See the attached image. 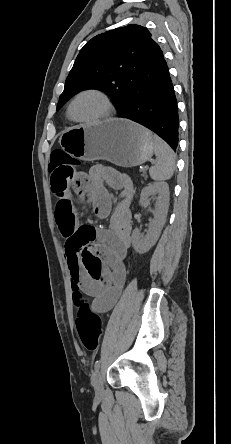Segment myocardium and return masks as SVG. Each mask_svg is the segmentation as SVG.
Returning <instances> with one entry per match:
<instances>
[{"label":"myocardium","mask_w":231,"mask_h":444,"mask_svg":"<svg viewBox=\"0 0 231 444\" xmlns=\"http://www.w3.org/2000/svg\"><path fill=\"white\" fill-rule=\"evenodd\" d=\"M84 94H95V95L99 96L102 99V101L104 102L105 111L101 115H99L93 119H89V120L75 118L73 115V112H72L73 105H74L75 101L80 96H82ZM113 112H114V105H113L110 97L104 91H102L101 89H98V88H87V89L81 90L71 99L69 106H68V116L70 117V119L74 122L82 123V124L100 123V122L105 121L108 118H110L113 115Z\"/></svg>","instance_id":"f54148a6"}]
</instances>
